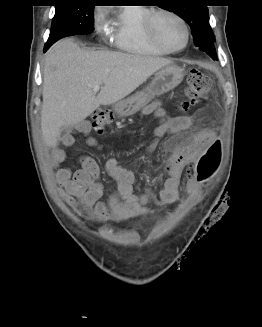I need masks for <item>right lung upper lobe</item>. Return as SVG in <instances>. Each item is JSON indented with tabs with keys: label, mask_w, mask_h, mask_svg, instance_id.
Masks as SVG:
<instances>
[{
	"label": "right lung upper lobe",
	"mask_w": 262,
	"mask_h": 327,
	"mask_svg": "<svg viewBox=\"0 0 262 327\" xmlns=\"http://www.w3.org/2000/svg\"><path fill=\"white\" fill-rule=\"evenodd\" d=\"M58 2H64V1H75V0H57Z\"/></svg>",
	"instance_id": "right-lung-upper-lobe-1"
}]
</instances>
